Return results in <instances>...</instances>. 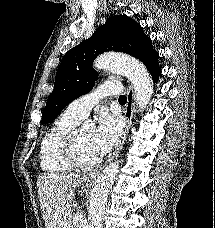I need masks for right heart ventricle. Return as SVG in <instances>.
<instances>
[{
	"mask_svg": "<svg viewBox=\"0 0 215 228\" xmlns=\"http://www.w3.org/2000/svg\"><path fill=\"white\" fill-rule=\"evenodd\" d=\"M80 121V119L65 110L46 131L41 140L39 150L40 165L45 173L62 174L72 169L62 158L59 152V144L63 137L75 128Z\"/></svg>",
	"mask_w": 215,
	"mask_h": 228,
	"instance_id": "obj_1",
	"label": "right heart ventricle"
}]
</instances>
